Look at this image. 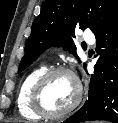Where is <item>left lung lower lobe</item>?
<instances>
[{
    "mask_svg": "<svg viewBox=\"0 0 118 123\" xmlns=\"http://www.w3.org/2000/svg\"><path fill=\"white\" fill-rule=\"evenodd\" d=\"M95 37L100 57L91 75L88 100L65 123L91 120L118 123V15Z\"/></svg>",
    "mask_w": 118,
    "mask_h": 123,
    "instance_id": "1",
    "label": "left lung lower lobe"
}]
</instances>
